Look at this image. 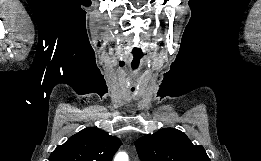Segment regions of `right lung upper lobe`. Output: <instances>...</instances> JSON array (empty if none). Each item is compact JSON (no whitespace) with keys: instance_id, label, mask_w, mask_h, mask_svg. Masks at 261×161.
<instances>
[{"instance_id":"obj_1","label":"right lung upper lobe","mask_w":261,"mask_h":161,"mask_svg":"<svg viewBox=\"0 0 261 161\" xmlns=\"http://www.w3.org/2000/svg\"><path fill=\"white\" fill-rule=\"evenodd\" d=\"M121 141L107 132L88 127L58 145L49 161H112Z\"/></svg>"}]
</instances>
